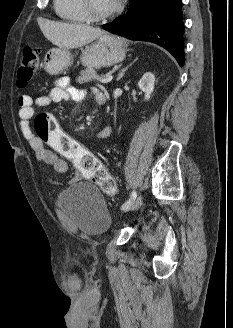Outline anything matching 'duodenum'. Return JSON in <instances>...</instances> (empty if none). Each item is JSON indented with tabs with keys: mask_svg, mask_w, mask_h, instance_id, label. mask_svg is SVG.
<instances>
[{
	"mask_svg": "<svg viewBox=\"0 0 233 328\" xmlns=\"http://www.w3.org/2000/svg\"><path fill=\"white\" fill-rule=\"evenodd\" d=\"M98 103L99 104H104L105 103V96L103 94H100L98 98Z\"/></svg>",
	"mask_w": 233,
	"mask_h": 328,
	"instance_id": "410a0bca",
	"label": "duodenum"
}]
</instances>
